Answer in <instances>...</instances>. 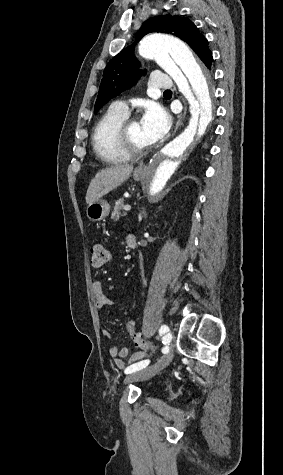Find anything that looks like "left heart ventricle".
<instances>
[{
    "instance_id": "left-heart-ventricle-1",
    "label": "left heart ventricle",
    "mask_w": 283,
    "mask_h": 475,
    "mask_svg": "<svg viewBox=\"0 0 283 475\" xmlns=\"http://www.w3.org/2000/svg\"><path fill=\"white\" fill-rule=\"evenodd\" d=\"M144 130L139 120H133L130 124V140L133 146L145 148L151 145L144 137ZM131 148L128 144H112L108 147V151L111 153H116L118 151L130 152Z\"/></svg>"
}]
</instances>
